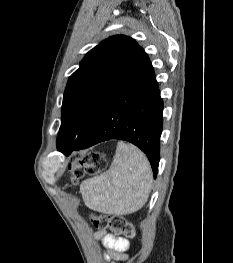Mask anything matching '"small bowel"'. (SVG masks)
<instances>
[{"instance_id": "obj_1", "label": "small bowel", "mask_w": 233, "mask_h": 263, "mask_svg": "<svg viewBox=\"0 0 233 263\" xmlns=\"http://www.w3.org/2000/svg\"><path fill=\"white\" fill-rule=\"evenodd\" d=\"M95 238L103 242L107 249L105 259L111 263L124 261L128 257L129 241L121 236L109 233L105 230L98 231Z\"/></svg>"}]
</instances>
